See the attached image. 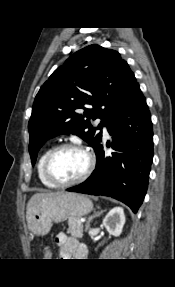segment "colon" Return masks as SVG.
<instances>
[{
	"label": "colon",
	"instance_id": "obj_1",
	"mask_svg": "<svg viewBox=\"0 0 175 287\" xmlns=\"http://www.w3.org/2000/svg\"><path fill=\"white\" fill-rule=\"evenodd\" d=\"M51 256V249L49 247L45 248V257L49 258Z\"/></svg>",
	"mask_w": 175,
	"mask_h": 287
}]
</instances>
